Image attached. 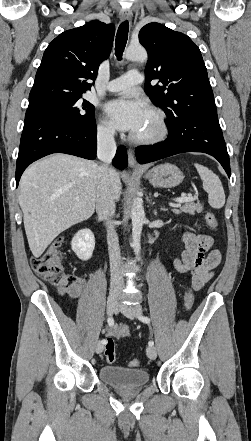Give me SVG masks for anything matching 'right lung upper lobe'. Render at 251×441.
<instances>
[{
  "instance_id": "cb5924a9",
  "label": "right lung upper lobe",
  "mask_w": 251,
  "mask_h": 441,
  "mask_svg": "<svg viewBox=\"0 0 251 441\" xmlns=\"http://www.w3.org/2000/svg\"><path fill=\"white\" fill-rule=\"evenodd\" d=\"M115 27L100 21L67 30L46 48L29 102L57 95H82L111 51Z\"/></svg>"
}]
</instances>
